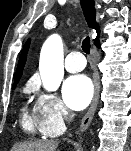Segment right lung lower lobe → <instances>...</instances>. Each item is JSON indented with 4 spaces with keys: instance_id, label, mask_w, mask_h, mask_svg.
<instances>
[{
    "instance_id": "right-lung-lower-lobe-1",
    "label": "right lung lower lobe",
    "mask_w": 131,
    "mask_h": 151,
    "mask_svg": "<svg viewBox=\"0 0 131 151\" xmlns=\"http://www.w3.org/2000/svg\"><path fill=\"white\" fill-rule=\"evenodd\" d=\"M96 46H97V47H100V44H99V43H97V44H96Z\"/></svg>"
}]
</instances>
